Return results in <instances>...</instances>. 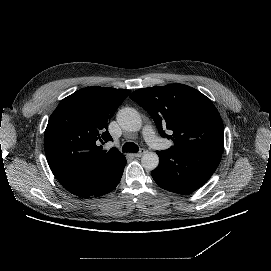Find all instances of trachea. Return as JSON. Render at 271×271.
Listing matches in <instances>:
<instances>
[{
  "label": "trachea",
  "mask_w": 271,
  "mask_h": 271,
  "mask_svg": "<svg viewBox=\"0 0 271 271\" xmlns=\"http://www.w3.org/2000/svg\"><path fill=\"white\" fill-rule=\"evenodd\" d=\"M138 150V146L133 142H127L122 147L123 152H138Z\"/></svg>",
  "instance_id": "1"
}]
</instances>
